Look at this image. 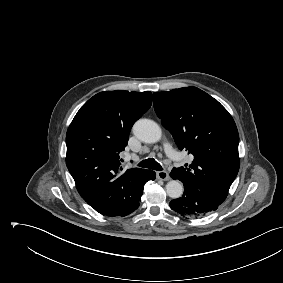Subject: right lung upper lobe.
Masks as SVG:
<instances>
[{"label": "right lung upper lobe", "mask_w": 283, "mask_h": 283, "mask_svg": "<svg viewBox=\"0 0 283 283\" xmlns=\"http://www.w3.org/2000/svg\"><path fill=\"white\" fill-rule=\"evenodd\" d=\"M152 93L105 91L77 112L66 135V165L83 199L100 214L121 215L137 202L148 170L122 171L119 153Z\"/></svg>", "instance_id": "obj_1"}]
</instances>
